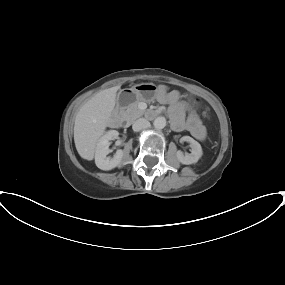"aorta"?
Segmentation results:
<instances>
[{
  "mask_svg": "<svg viewBox=\"0 0 285 285\" xmlns=\"http://www.w3.org/2000/svg\"><path fill=\"white\" fill-rule=\"evenodd\" d=\"M153 125L158 130L163 129L166 126V119H165V117H157L154 120Z\"/></svg>",
  "mask_w": 285,
  "mask_h": 285,
  "instance_id": "aorta-1",
  "label": "aorta"
}]
</instances>
